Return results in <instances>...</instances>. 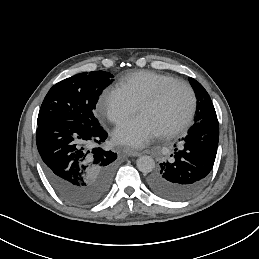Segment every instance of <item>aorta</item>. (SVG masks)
Returning a JSON list of instances; mask_svg holds the SVG:
<instances>
[{"label":"aorta","instance_id":"1","mask_svg":"<svg viewBox=\"0 0 259 259\" xmlns=\"http://www.w3.org/2000/svg\"><path fill=\"white\" fill-rule=\"evenodd\" d=\"M136 165L142 173H150L155 167V162L152 157L145 155L137 159Z\"/></svg>","mask_w":259,"mask_h":259}]
</instances>
